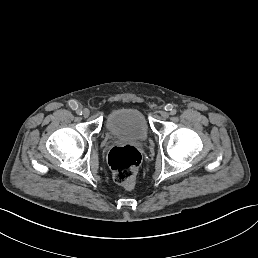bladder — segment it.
Returning a JSON list of instances; mask_svg holds the SVG:
<instances>
[{
	"instance_id": "bladder-1",
	"label": "bladder",
	"mask_w": 258,
	"mask_h": 258,
	"mask_svg": "<svg viewBox=\"0 0 258 258\" xmlns=\"http://www.w3.org/2000/svg\"><path fill=\"white\" fill-rule=\"evenodd\" d=\"M107 132L115 137L143 141L149 133L144 114L134 108L118 109L111 112L106 120Z\"/></svg>"
}]
</instances>
